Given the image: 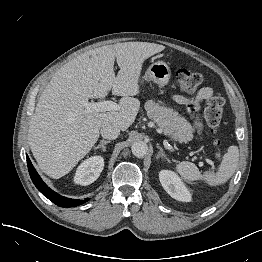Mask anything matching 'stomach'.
<instances>
[{
  "mask_svg": "<svg viewBox=\"0 0 262 262\" xmlns=\"http://www.w3.org/2000/svg\"><path fill=\"white\" fill-rule=\"evenodd\" d=\"M171 77V70L169 66L162 61H157L149 66L143 76V81H152L159 86H165L168 84ZM176 131H174L175 133ZM188 133H191L190 131ZM177 140V138H174Z\"/></svg>",
  "mask_w": 262,
  "mask_h": 262,
  "instance_id": "1",
  "label": "stomach"
}]
</instances>
